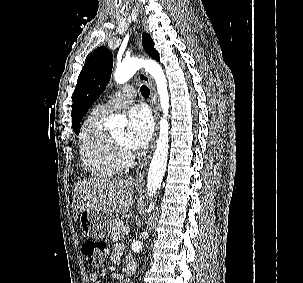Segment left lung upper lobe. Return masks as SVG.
<instances>
[{
	"label": "left lung upper lobe",
	"instance_id": "obj_1",
	"mask_svg": "<svg viewBox=\"0 0 303 283\" xmlns=\"http://www.w3.org/2000/svg\"><path fill=\"white\" fill-rule=\"evenodd\" d=\"M142 45L147 54L160 60L149 34H143ZM112 66L113 55L105 47L97 48L86 60L73 94L72 127L76 134L79 133L80 122L88 108L105 90L110 80Z\"/></svg>",
	"mask_w": 303,
	"mask_h": 283
}]
</instances>
